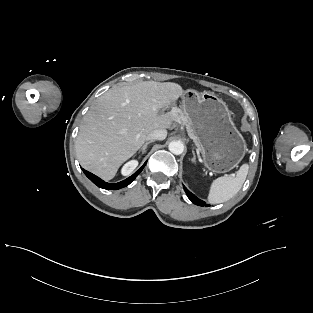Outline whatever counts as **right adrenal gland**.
<instances>
[{
  "mask_svg": "<svg viewBox=\"0 0 313 313\" xmlns=\"http://www.w3.org/2000/svg\"><path fill=\"white\" fill-rule=\"evenodd\" d=\"M153 141H147L142 147H141V149L139 150V152L141 153V154H143L145 151H146V149H147V146L149 145V144H151Z\"/></svg>",
  "mask_w": 313,
  "mask_h": 313,
  "instance_id": "1",
  "label": "right adrenal gland"
}]
</instances>
